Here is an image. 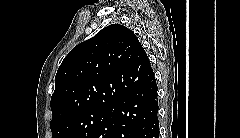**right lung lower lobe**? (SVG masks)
Returning a JSON list of instances; mask_svg holds the SVG:
<instances>
[{
	"label": "right lung lower lobe",
	"instance_id": "1",
	"mask_svg": "<svg viewBox=\"0 0 240 138\" xmlns=\"http://www.w3.org/2000/svg\"><path fill=\"white\" fill-rule=\"evenodd\" d=\"M157 90L153 78L112 104L90 138H159Z\"/></svg>",
	"mask_w": 240,
	"mask_h": 138
}]
</instances>
